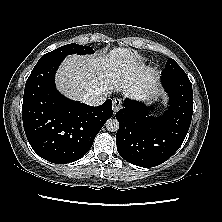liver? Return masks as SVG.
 <instances>
[{
  "mask_svg": "<svg viewBox=\"0 0 222 222\" xmlns=\"http://www.w3.org/2000/svg\"><path fill=\"white\" fill-rule=\"evenodd\" d=\"M154 70L141 64V57L128 48H114L97 56L70 55L56 75L58 90L73 100L104 89L122 91L133 98H146L157 87Z\"/></svg>",
  "mask_w": 222,
  "mask_h": 222,
  "instance_id": "6515ba94",
  "label": "liver"
}]
</instances>
